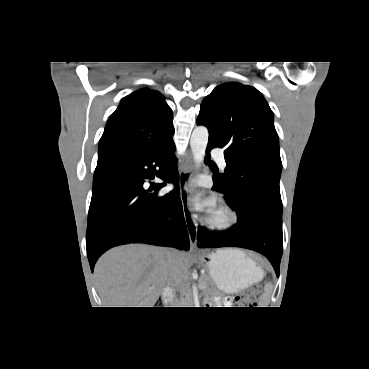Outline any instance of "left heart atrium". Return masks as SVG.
<instances>
[{"label":"left heart atrium","mask_w":369,"mask_h":369,"mask_svg":"<svg viewBox=\"0 0 369 369\" xmlns=\"http://www.w3.org/2000/svg\"><path fill=\"white\" fill-rule=\"evenodd\" d=\"M200 206H207V207H210L212 206V201L211 200H204V201H201L199 203Z\"/></svg>","instance_id":"39dd6f15"}]
</instances>
